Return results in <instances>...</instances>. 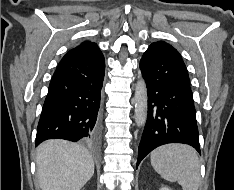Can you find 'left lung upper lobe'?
<instances>
[{
    "mask_svg": "<svg viewBox=\"0 0 234 190\" xmlns=\"http://www.w3.org/2000/svg\"><path fill=\"white\" fill-rule=\"evenodd\" d=\"M185 80L189 83V76L185 64L183 65Z\"/></svg>",
    "mask_w": 234,
    "mask_h": 190,
    "instance_id": "obj_1",
    "label": "left lung upper lobe"
}]
</instances>
